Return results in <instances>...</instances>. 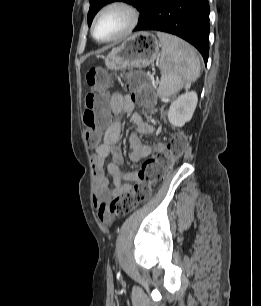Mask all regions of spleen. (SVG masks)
Segmentation results:
<instances>
[{
  "instance_id": "1",
  "label": "spleen",
  "mask_w": 261,
  "mask_h": 306,
  "mask_svg": "<svg viewBox=\"0 0 261 306\" xmlns=\"http://www.w3.org/2000/svg\"><path fill=\"white\" fill-rule=\"evenodd\" d=\"M157 36L162 46L158 95L170 97L199 78L200 60L195 50L178 37L162 32Z\"/></svg>"
}]
</instances>
